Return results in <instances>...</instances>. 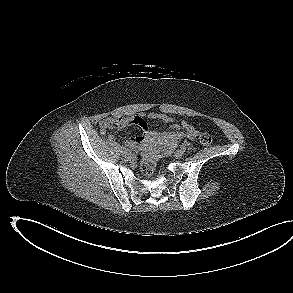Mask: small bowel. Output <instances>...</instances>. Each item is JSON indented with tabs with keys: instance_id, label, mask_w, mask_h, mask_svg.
I'll use <instances>...</instances> for the list:
<instances>
[{
	"instance_id": "obj_1",
	"label": "small bowel",
	"mask_w": 293,
	"mask_h": 293,
	"mask_svg": "<svg viewBox=\"0 0 293 293\" xmlns=\"http://www.w3.org/2000/svg\"><path fill=\"white\" fill-rule=\"evenodd\" d=\"M147 119H158L164 123H173V129L163 132L150 130ZM131 125H136L142 130V135L125 140V145L131 148L141 147L151 150L155 146L169 142L177 145L183 139H195L199 135L198 131L189 122L174 123L171 116L161 113L139 114L133 117H110L102 120L99 127L100 132L105 134L108 129H121Z\"/></svg>"
}]
</instances>
